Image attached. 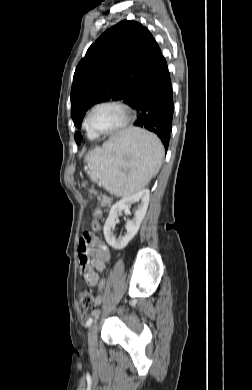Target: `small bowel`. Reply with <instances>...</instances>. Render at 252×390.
Wrapping results in <instances>:
<instances>
[{"mask_svg":"<svg viewBox=\"0 0 252 390\" xmlns=\"http://www.w3.org/2000/svg\"><path fill=\"white\" fill-rule=\"evenodd\" d=\"M79 261L84 255L88 257L86 267L90 271V276L86 279L92 287L97 285V294L95 296V306L99 307L102 303V295L105 287V281L100 280V274L106 268L110 260V250L107 245L98 239L91 232H84L83 237L78 243Z\"/></svg>","mask_w":252,"mask_h":390,"instance_id":"c3829d8e","label":"small bowel"}]
</instances>
